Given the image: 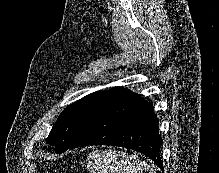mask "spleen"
Instances as JSON below:
<instances>
[{
  "label": "spleen",
  "mask_w": 219,
  "mask_h": 173,
  "mask_svg": "<svg viewBox=\"0 0 219 173\" xmlns=\"http://www.w3.org/2000/svg\"><path fill=\"white\" fill-rule=\"evenodd\" d=\"M92 173H156L136 155L125 152H94L88 158Z\"/></svg>",
  "instance_id": "1"
}]
</instances>
